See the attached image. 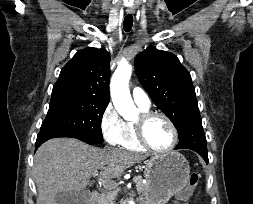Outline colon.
Returning <instances> with one entry per match:
<instances>
[{
  "mask_svg": "<svg viewBox=\"0 0 253 204\" xmlns=\"http://www.w3.org/2000/svg\"><path fill=\"white\" fill-rule=\"evenodd\" d=\"M200 179V175L198 173H191L189 177V182L186 185V187L180 192L178 196V202L184 204L192 195L194 192L198 182Z\"/></svg>",
  "mask_w": 253,
  "mask_h": 204,
  "instance_id": "1",
  "label": "colon"
}]
</instances>
